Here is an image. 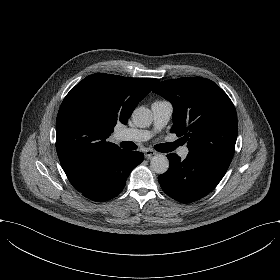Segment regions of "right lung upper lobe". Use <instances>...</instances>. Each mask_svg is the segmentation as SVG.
Returning <instances> with one entry per match:
<instances>
[{
  "instance_id": "cb5924a9",
  "label": "right lung upper lobe",
  "mask_w": 280,
  "mask_h": 280,
  "mask_svg": "<svg viewBox=\"0 0 280 280\" xmlns=\"http://www.w3.org/2000/svg\"><path fill=\"white\" fill-rule=\"evenodd\" d=\"M158 82L96 73L70 90L56 119V149L72 185L92 164L123 151L107 138L117 123H127L136 105Z\"/></svg>"
}]
</instances>
